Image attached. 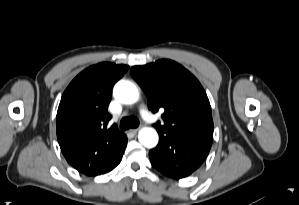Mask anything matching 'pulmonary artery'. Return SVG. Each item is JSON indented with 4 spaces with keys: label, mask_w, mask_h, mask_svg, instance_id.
<instances>
[{
    "label": "pulmonary artery",
    "mask_w": 299,
    "mask_h": 205,
    "mask_svg": "<svg viewBox=\"0 0 299 205\" xmlns=\"http://www.w3.org/2000/svg\"><path fill=\"white\" fill-rule=\"evenodd\" d=\"M140 113L146 121H148V122H153L154 121V117L146 109L142 108L140 110Z\"/></svg>",
    "instance_id": "pulmonary-artery-1"
}]
</instances>
